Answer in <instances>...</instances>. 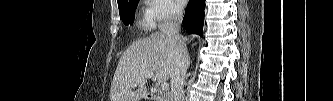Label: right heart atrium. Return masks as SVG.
Instances as JSON below:
<instances>
[{
    "instance_id": "obj_1",
    "label": "right heart atrium",
    "mask_w": 333,
    "mask_h": 101,
    "mask_svg": "<svg viewBox=\"0 0 333 101\" xmlns=\"http://www.w3.org/2000/svg\"><path fill=\"white\" fill-rule=\"evenodd\" d=\"M180 17L179 9L170 0H149L145 14L148 28L167 25Z\"/></svg>"
}]
</instances>
